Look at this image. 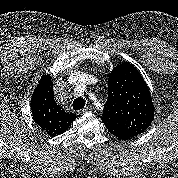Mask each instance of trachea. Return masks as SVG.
<instances>
[{"mask_svg": "<svg viewBox=\"0 0 178 178\" xmlns=\"http://www.w3.org/2000/svg\"><path fill=\"white\" fill-rule=\"evenodd\" d=\"M85 106V100L82 97H78L73 101V109L80 110Z\"/></svg>", "mask_w": 178, "mask_h": 178, "instance_id": "3493384b", "label": "trachea"}]
</instances>
